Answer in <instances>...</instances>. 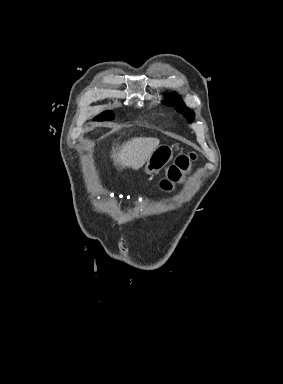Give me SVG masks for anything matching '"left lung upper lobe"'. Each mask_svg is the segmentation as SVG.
Listing matches in <instances>:
<instances>
[{
  "label": "left lung upper lobe",
  "mask_w": 283,
  "mask_h": 384,
  "mask_svg": "<svg viewBox=\"0 0 283 384\" xmlns=\"http://www.w3.org/2000/svg\"><path fill=\"white\" fill-rule=\"evenodd\" d=\"M176 94L172 93L170 96L171 98L169 100L163 101L164 103H167L168 105H175L176 109L186 115L190 122L194 119V112L191 111L189 108L185 107V104L180 100V97H174Z\"/></svg>",
  "instance_id": "obj_1"
}]
</instances>
